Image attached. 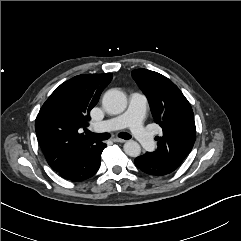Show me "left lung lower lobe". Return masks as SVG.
Returning a JSON list of instances; mask_svg holds the SVG:
<instances>
[{"instance_id":"1","label":"left lung lower lobe","mask_w":241,"mask_h":241,"mask_svg":"<svg viewBox=\"0 0 241 241\" xmlns=\"http://www.w3.org/2000/svg\"><path fill=\"white\" fill-rule=\"evenodd\" d=\"M134 162L141 171L153 176L166 175L176 169V167L153 161L146 154L137 157Z\"/></svg>"}]
</instances>
